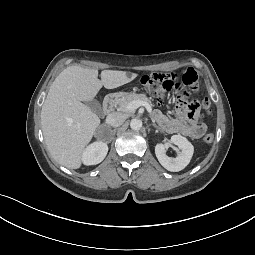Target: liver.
Instances as JSON below:
<instances>
[{
	"label": "liver",
	"instance_id": "obj_1",
	"mask_svg": "<svg viewBox=\"0 0 255 255\" xmlns=\"http://www.w3.org/2000/svg\"><path fill=\"white\" fill-rule=\"evenodd\" d=\"M138 74L126 71L98 70L78 65L65 68L52 83L41 110L45 143L53 159L69 169H78L82 153L91 141L100 118L84 103L93 100L99 90L120 87Z\"/></svg>",
	"mask_w": 255,
	"mask_h": 255
}]
</instances>
